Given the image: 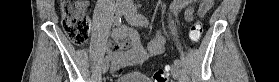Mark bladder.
<instances>
[{
    "mask_svg": "<svg viewBox=\"0 0 279 82\" xmlns=\"http://www.w3.org/2000/svg\"><path fill=\"white\" fill-rule=\"evenodd\" d=\"M115 82H153L147 75L138 72L124 74L117 78Z\"/></svg>",
    "mask_w": 279,
    "mask_h": 82,
    "instance_id": "1",
    "label": "bladder"
}]
</instances>
